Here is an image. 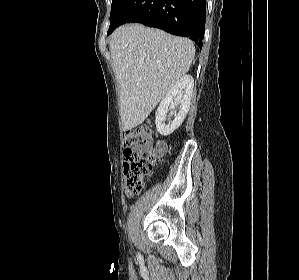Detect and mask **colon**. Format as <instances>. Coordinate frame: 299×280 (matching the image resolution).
<instances>
[{"label": "colon", "mask_w": 299, "mask_h": 280, "mask_svg": "<svg viewBox=\"0 0 299 280\" xmlns=\"http://www.w3.org/2000/svg\"><path fill=\"white\" fill-rule=\"evenodd\" d=\"M151 135V129L147 126L134 128L125 134L123 166L125 192L129 197L142 191L158 159L157 153H143L138 150L148 143Z\"/></svg>", "instance_id": "1"}]
</instances>
